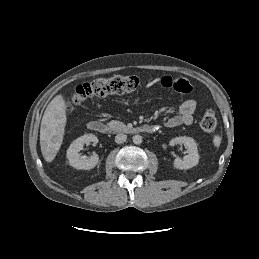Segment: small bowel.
I'll list each match as a JSON object with an SVG mask.
<instances>
[{
	"mask_svg": "<svg viewBox=\"0 0 259 259\" xmlns=\"http://www.w3.org/2000/svg\"><path fill=\"white\" fill-rule=\"evenodd\" d=\"M197 109V102L193 99H187L179 107L178 113L169 117L165 126L174 128L181 125H190L193 122V115Z\"/></svg>",
	"mask_w": 259,
	"mask_h": 259,
	"instance_id": "obj_1",
	"label": "small bowel"
}]
</instances>
